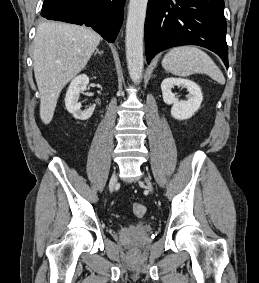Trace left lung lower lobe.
Returning a JSON list of instances; mask_svg holds the SVG:
<instances>
[{"instance_id":"1","label":"left lung lower lobe","mask_w":259,"mask_h":283,"mask_svg":"<svg viewBox=\"0 0 259 283\" xmlns=\"http://www.w3.org/2000/svg\"><path fill=\"white\" fill-rule=\"evenodd\" d=\"M224 0H149L145 21L146 58L180 45L205 47L228 68Z\"/></svg>"}]
</instances>
